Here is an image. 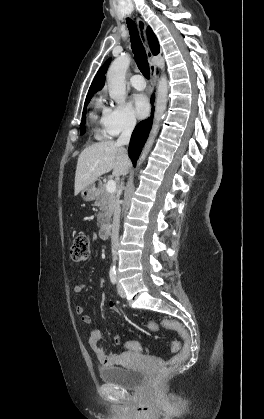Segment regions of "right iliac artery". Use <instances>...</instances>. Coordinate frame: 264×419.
<instances>
[{
	"mask_svg": "<svg viewBox=\"0 0 264 419\" xmlns=\"http://www.w3.org/2000/svg\"><path fill=\"white\" fill-rule=\"evenodd\" d=\"M109 275H110L111 282L113 284H116L117 283V275H116L115 267L110 269Z\"/></svg>",
	"mask_w": 264,
	"mask_h": 419,
	"instance_id": "82829eb1",
	"label": "right iliac artery"
}]
</instances>
